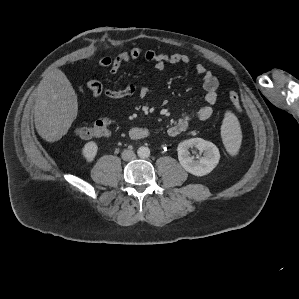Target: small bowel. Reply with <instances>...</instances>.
Returning <instances> with one entry per match:
<instances>
[{
    "instance_id": "1",
    "label": "small bowel",
    "mask_w": 299,
    "mask_h": 299,
    "mask_svg": "<svg viewBox=\"0 0 299 299\" xmlns=\"http://www.w3.org/2000/svg\"><path fill=\"white\" fill-rule=\"evenodd\" d=\"M143 57L147 62L153 63L157 71H163L168 64H187L190 61L188 55L183 53L164 54L157 53L152 50H143L141 48H132L129 51L122 52L116 57H103L99 60L102 68L109 70L111 74H116L121 66L128 61L136 60ZM196 73L202 78L204 89L205 105L192 114H182L180 118L167 130L169 137H176L186 131L192 120L206 121L213 115V105L218 100L219 82L216 76L208 70L203 64L195 66ZM87 87L91 91L94 98L105 96L112 100L122 99L133 94H137L140 98H144L152 93L148 87H138L135 83H130L122 89L104 88L100 81L91 79L87 82ZM146 132L141 127H133L130 130V136L133 139H141L142 134Z\"/></svg>"
}]
</instances>
